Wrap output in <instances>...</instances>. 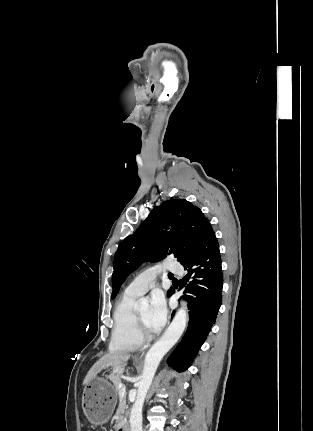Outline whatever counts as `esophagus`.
<instances>
[{
  "mask_svg": "<svg viewBox=\"0 0 313 431\" xmlns=\"http://www.w3.org/2000/svg\"><path fill=\"white\" fill-rule=\"evenodd\" d=\"M145 350L141 351L139 354L136 355V359H142L144 356Z\"/></svg>",
  "mask_w": 313,
  "mask_h": 431,
  "instance_id": "obj_1",
  "label": "esophagus"
}]
</instances>
